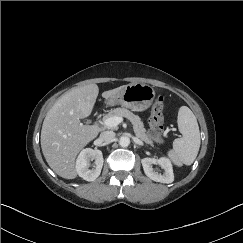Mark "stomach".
Returning <instances> with one entry per match:
<instances>
[{
    "label": "stomach",
    "instance_id": "1",
    "mask_svg": "<svg viewBox=\"0 0 243 243\" xmlns=\"http://www.w3.org/2000/svg\"><path fill=\"white\" fill-rule=\"evenodd\" d=\"M155 98V89L149 84L131 83L125 86L117 95L108 99L107 103H115L129 108L132 111L147 110Z\"/></svg>",
    "mask_w": 243,
    "mask_h": 243
}]
</instances>
